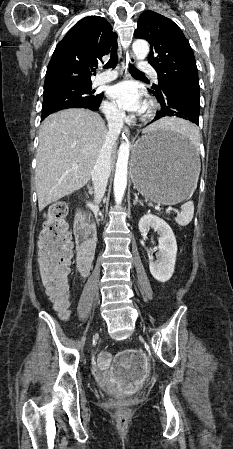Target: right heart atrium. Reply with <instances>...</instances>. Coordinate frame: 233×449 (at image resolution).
Instances as JSON below:
<instances>
[{"mask_svg": "<svg viewBox=\"0 0 233 449\" xmlns=\"http://www.w3.org/2000/svg\"><path fill=\"white\" fill-rule=\"evenodd\" d=\"M102 110L107 119L112 122H120L123 119L121 110L113 102L105 101L102 105Z\"/></svg>", "mask_w": 233, "mask_h": 449, "instance_id": "right-heart-atrium-1", "label": "right heart atrium"}]
</instances>
